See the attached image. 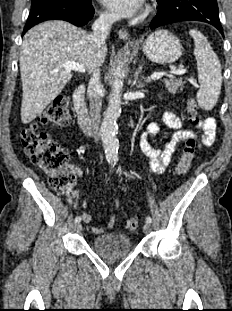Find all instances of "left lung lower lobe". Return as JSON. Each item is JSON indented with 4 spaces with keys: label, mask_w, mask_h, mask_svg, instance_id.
I'll return each instance as SVG.
<instances>
[{
    "label": "left lung lower lobe",
    "mask_w": 232,
    "mask_h": 311,
    "mask_svg": "<svg viewBox=\"0 0 232 311\" xmlns=\"http://www.w3.org/2000/svg\"><path fill=\"white\" fill-rule=\"evenodd\" d=\"M157 15L151 29L180 21H202L216 27L223 35L216 0H156Z\"/></svg>",
    "instance_id": "1"
}]
</instances>
